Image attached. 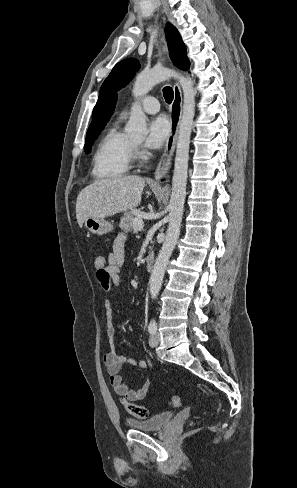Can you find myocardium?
I'll return each instance as SVG.
<instances>
[{"label": "myocardium", "mask_w": 297, "mask_h": 488, "mask_svg": "<svg viewBox=\"0 0 297 488\" xmlns=\"http://www.w3.org/2000/svg\"><path fill=\"white\" fill-rule=\"evenodd\" d=\"M134 147V152H133V157L132 158H135L136 160H142V156L140 155V152L137 150V148L133 145Z\"/></svg>", "instance_id": "1"}]
</instances>
